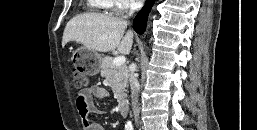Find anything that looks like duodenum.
Returning <instances> with one entry per match:
<instances>
[{
    "label": "duodenum",
    "instance_id": "1",
    "mask_svg": "<svg viewBox=\"0 0 257 130\" xmlns=\"http://www.w3.org/2000/svg\"><path fill=\"white\" fill-rule=\"evenodd\" d=\"M118 110L122 116H127L129 111V103L126 99H121L118 102Z\"/></svg>",
    "mask_w": 257,
    "mask_h": 130
}]
</instances>
